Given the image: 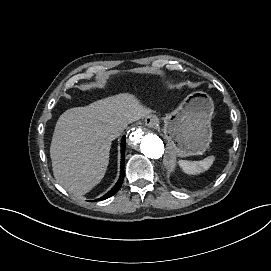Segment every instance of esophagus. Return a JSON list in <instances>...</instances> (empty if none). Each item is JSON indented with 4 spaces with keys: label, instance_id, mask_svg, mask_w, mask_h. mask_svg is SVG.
<instances>
[{
    "label": "esophagus",
    "instance_id": "esophagus-1",
    "mask_svg": "<svg viewBox=\"0 0 271 271\" xmlns=\"http://www.w3.org/2000/svg\"><path fill=\"white\" fill-rule=\"evenodd\" d=\"M158 122H159V119L155 114L148 115L145 118V125L149 128H155Z\"/></svg>",
    "mask_w": 271,
    "mask_h": 271
}]
</instances>
